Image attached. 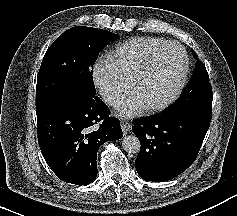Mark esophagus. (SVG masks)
<instances>
[{
    "mask_svg": "<svg viewBox=\"0 0 237 216\" xmlns=\"http://www.w3.org/2000/svg\"><path fill=\"white\" fill-rule=\"evenodd\" d=\"M121 128H122L123 134L125 135V134H127V133H129V132L131 131V129H132V124H131V122H129V121L123 120V121L121 122Z\"/></svg>",
    "mask_w": 237,
    "mask_h": 216,
    "instance_id": "1",
    "label": "esophagus"
}]
</instances>
